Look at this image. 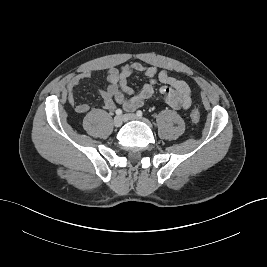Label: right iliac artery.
Masks as SVG:
<instances>
[{"mask_svg":"<svg viewBox=\"0 0 267 267\" xmlns=\"http://www.w3.org/2000/svg\"><path fill=\"white\" fill-rule=\"evenodd\" d=\"M115 113L117 114V115H122V110L121 109H117L116 111H115Z\"/></svg>","mask_w":267,"mask_h":267,"instance_id":"1","label":"right iliac artery"}]
</instances>
